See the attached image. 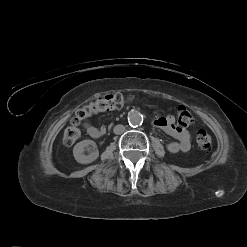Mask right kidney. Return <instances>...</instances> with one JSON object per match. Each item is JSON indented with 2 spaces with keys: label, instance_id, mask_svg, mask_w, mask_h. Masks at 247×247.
Returning a JSON list of instances; mask_svg holds the SVG:
<instances>
[{
  "label": "right kidney",
  "instance_id": "right-kidney-1",
  "mask_svg": "<svg viewBox=\"0 0 247 247\" xmlns=\"http://www.w3.org/2000/svg\"><path fill=\"white\" fill-rule=\"evenodd\" d=\"M88 146H92L94 151L91 152L89 155H85L84 154V150ZM95 149H96V144H95L94 141H92V140H83V141L77 143L74 146V148H73L74 158L78 163H81V164L92 163L99 156L98 150H95Z\"/></svg>",
  "mask_w": 247,
  "mask_h": 247
}]
</instances>
